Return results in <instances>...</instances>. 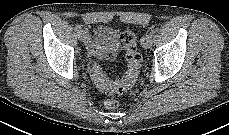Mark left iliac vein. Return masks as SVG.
Wrapping results in <instances>:
<instances>
[{"label": "left iliac vein", "instance_id": "4c4485c4", "mask_svg": "<svg viewBox=\"0 0 229 135\" xmlns=\"http://www.w3.org/2000/svg\"><path fill=\"white\" fill-rule=\"evenodd\" d=\"M141 45L145 49L150 48L152 45V37L149 34L143 36V38L141 40Z\"/></svg>", "mask_w": 229, "mask_h": 135}]
</instances>
